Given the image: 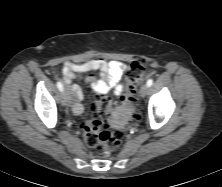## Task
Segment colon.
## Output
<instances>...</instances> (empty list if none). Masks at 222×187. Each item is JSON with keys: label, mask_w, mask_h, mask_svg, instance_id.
<instances>
[{"label": "colon", "mask_w": 222, "mask_h": 187, "mask_svg": "<svg viewBox=\"0 0 222 187\" xmlns=\"http://www.w3.org/2000/svg\"><path fill=\"white\" fill-rule=\"evenodd\" d=\"M145 77V62L133 61L127 72L128 93L121 105L112 103L104 95L90 107L91 118L81 120L79 125L86 144L91 148H99L103 152L115 150L124 134L127 122H136L140 119L134 94ZM113 125L116 130L111 132L108 127Z\"/></svg>", "instance_id": "obj_1"}]
</instances>
